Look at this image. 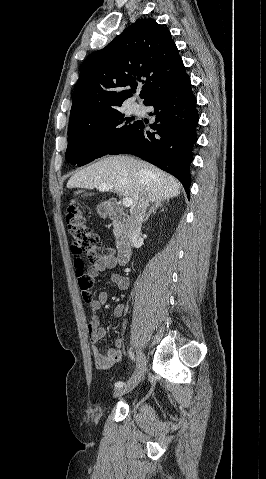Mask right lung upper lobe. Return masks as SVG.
<instances>
[{
  "label": "right lung upper lobe",
  "mask_w": 266,
  "mask_h": 479,
  "mask_svg": "<svg viewBox=\"0 0 266 479\" xmlns=\"http://www.w3.org/2000/svg\"><path fill=\"white\" fill-rule=\"evenodd\" d=\"M171 33L154 19H138L84 61L74 90L70 120L121 107L138 83L145 100L185 75ZM130 86V90L121 87Z\"/></svg>",
  "instance_id": "obj_1"
}]
</instances>
